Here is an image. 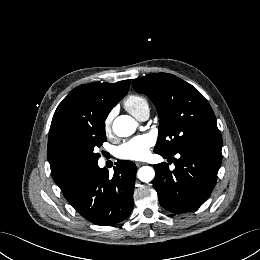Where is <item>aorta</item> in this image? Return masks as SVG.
I'll return each mask as SVG.
<instances>
[{
  "label": "aorta",
  "instance_id": "762f6f07",
  "mask_svg": "<svg viewBox=\"0 0 260 260\" xmlns=\"http://www.w3.org/2000/svg\"><path fill=\"white\" fill-rule=\"evenodd\" d=\"M137 127V122L128 115H120L113 122V132L119 137L132 135ZM155 171L150 166H143L137 172V177L142 182H150L154 179Z\"/></svg>",
  "mask_w": 260,
  "mask_h": 260
}]
</instances>
